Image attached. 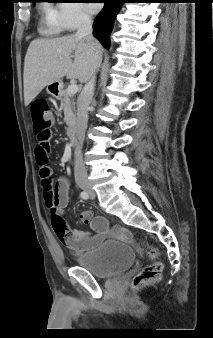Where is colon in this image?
Here are the masks:
<instances>
[{
  "mask_svg": "<svg viewBox=\"0 0 213 338\" xmlns=\"http://www.w3.org/2000/svg\"><path fill=\"white\" fill-rule=\"evenodd\" d=\"M31 111L34 116V133L39 142H45L50 137V127L52 116L49 107L44 100H36L31 105ZM36 159L39 167V175L41 178L42 192L45 207L48 209L52 224L55 229L62 228L63 221L57 213V202L54 193V180L48 165L47 157L40 156L36 153ZM103 224L96 222L93 224L95 229L101 228ZM146 254L148 262L142 271L135 276L134 285L144 286L156 283L162 278L163 264L159 258V252L156 248L147 246Z\"/></svg>",
  "mask_w": 213,
  "mask_h": 338,
  "instance_id": "colon-1",
  "label": "colon"
}]
</instances>
